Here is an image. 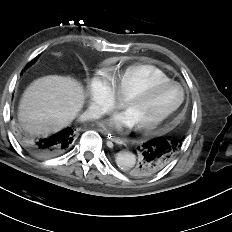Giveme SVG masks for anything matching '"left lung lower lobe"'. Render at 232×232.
Masks as SVG:
<instances>
[{"label":"left lung lower lobe","mask_w":232,"mask_h":232,"mask_svg":"<svg viewBox=\"0 0 232 232\" xmlns=\"http://www.w3.org/2000/svg\"><path fill=\"white\" fill-rule=\"evenodd\" d=\"M181 139L157 137L143 143L139 150V163L131 171L133 177H147L162 170L176 155Z\"/></svg>","instance_id":"obj_1"}]
</instances>
